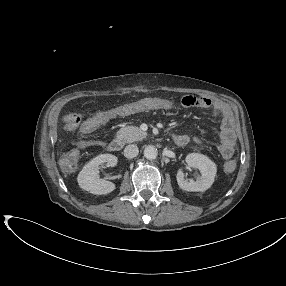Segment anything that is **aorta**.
Returning <instances> with one entry per match:
<instances>
[{
    "label": "aorta",
    "mask_w": 286,
    "mask_h": 286,
    "mask_svg": "<svg viewBox=\"0 0 286 286\" xmlns=\"http://www.w3.org/2000/svg\"><path fill=\"white\" fill-rule=\"evenodd\" d=\"M157 155H158V151H157V149H156L154 146H152V145H149V146H147V147L144 149V156H145V158L148 159V160H154V159H156Z\"/></svg>",
    "instance_id": "762f6f07"
}]
</instances>
